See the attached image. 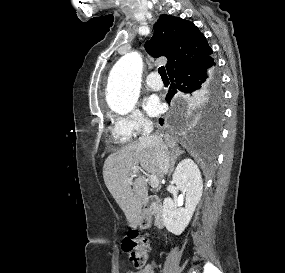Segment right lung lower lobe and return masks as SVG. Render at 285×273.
I'll return each mask as SVG.
<instances>
[{
    "instance_id": "obj_1",
    "label": "right lung lower lobe",
    "mask_w": 285,
    "mask_h": 273,
    "mask_svg": "<svg viewBox=\"0 0 285 273\" xmlns=\"http://www.w3.org/2000/svg\"><path fill=\"white\" fill-rule=\"evenodd\" d=\"M211 54L186 63L168 74L171 86L166 96L167 101H170L177 91L188 94L198 92L215 77L216 64ZM160 125H163L162 119H160Z\"/></svg>"
}]
</instances>
